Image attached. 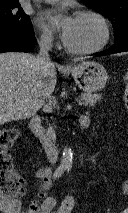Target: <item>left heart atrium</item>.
Instances as JSON below:
<instances>
[{"label": "left heart atrium", "instance_id": "left-heart-atrium-1", "mask_svg": "<svg viewBox=\"0 0 128 213\" xmlns=\"http://www.w3.org/2000/svg\"><path fill=\"white\" fill-rule=\"evenodd\" d=\"M42 27L57 31L65 43L68 42L75 18L68 14L64 9H53L46 11L39 18Z\"/></svg>", "mask_w": 128, "mask_h": 213}]
</instances>
